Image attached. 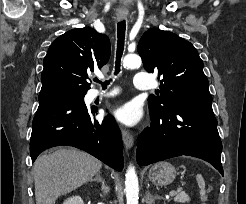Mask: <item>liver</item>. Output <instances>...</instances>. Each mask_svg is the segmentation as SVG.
<instances>
[{"label":"liver","mask_w":246,"mask_h":204,"mask_svg":"<svg viewBox=\"0 0 246 204\" xmlns=\"http://www.w3.org/2000/svg\"><path fill=\"white\" fill-rule=\"evenodd\" d=\"M101 167V161L73 148L39 156L33 167L36 204H55L58 197L91 180Z\"/></svg>","instance_id":"6515ba94"}]
</instances>
